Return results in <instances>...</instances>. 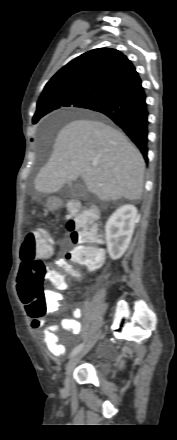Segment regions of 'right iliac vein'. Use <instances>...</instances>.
I'll list each match as a JSON object with an SVG mask.
<instances>
[{"label": "right iliac vein", "mask_w": 177, "mask_h": 440, "mask_svg": "<svg viewBox=\"0 0 177 440\" xmlns=\"http://www.w3.org/2000/svg\"><path fill=\"white\" fill-rule=\"evenodd\" d=\"M101 332H98L76 355H74L66 365L64 387L69 389L70 387V375L73 368L77 365L82 357H84L95 345L96 341L100 337Z\"/></svg>", "instance_id": "1"}]
</instances>
